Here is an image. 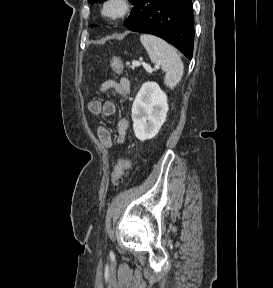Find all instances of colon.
I'll use <instances>...</instances> for the list:
<instances>
[{"label":"colon","instance_id":"1","mask_svg":"<svg viewBox=\"0 0 273 288\" xmlns=\"http://www.w3.org/2000/svg\"><path fill=\"white\" fill-rule=\"evenodd\" d=\"M111 67L115 73L120 74L123 70L122 59L118 56H114L111 60ZM130 165L131 163L129 159H119L117 161L111 173V183L114 187H117L125 178Z\"/></svg>","mask_w":273,"mask_h":288}]
</instances>
